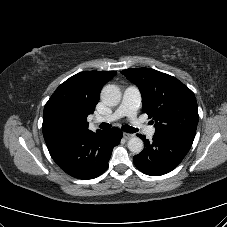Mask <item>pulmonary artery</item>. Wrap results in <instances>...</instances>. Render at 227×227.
Returning a JSON list of instances; mask_svg holds the SVG:
<instances>
[{"label":"pulmonary artery","instance_id":"e3ab8cb5","mask_svg":"<svg viewBox=\"0 0 227 227\" xmlns=\"http://www.w3.org/2000/svg\"><path fill=\"white\" fill-rule=\"evenodd\" d=\"M140 102L141 94L139 89L136 86H129L124 90L122 102L118 108L107 116L97 117L95 121L111 122L126 116L130 119L131 123L135 127L142 129L147 136L152 137L155 133V128L153 126L143 125L142 122L137 118V110L139 108Z\"/></svg>","mask_w":227,"mask_h":227}]
</instances>
